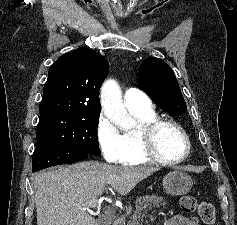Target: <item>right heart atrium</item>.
Masks as SVG:
<instances>
[{"label":"right heart atrium","mask_w":237,"mask_h":225,"mask_svg":"<svg viewBox=\"0 0 237 225\" xmlns=\"http://www.w3.org/2000/svg\"><path fill=\"white\" fill-rule=\"evenodd\" d=\"M96 139L107 162L116 164L124 160L128 152L124 134L104 113L97 120Z\"/></svg>","instance_id":"obj_1"}]
</instances>
